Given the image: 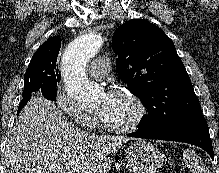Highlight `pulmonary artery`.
<instances>
[{"mask_svg":"<svg viewBox=\"0 0 219 173\" xmlns=\"http://www.w3.org/2000/svg\"><path fill=\"white\" fill-rule=\"evenodd\" d=\"M110 68L109 58L106 56L95 57L89 66V74L92 78L101 79L107 76Z\"/></svg>","mask_w":219,"mask_h":173,"instance_id":"1","label":"pulmonary artery"}]
</instances>
